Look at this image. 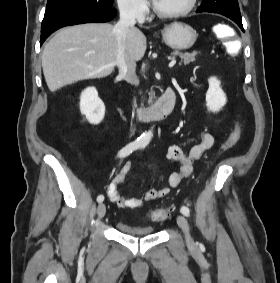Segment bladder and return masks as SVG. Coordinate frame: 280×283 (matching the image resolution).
Returning a JSON list of instances; mask_svg holds the SVG:
<instances>
[{
	"mask_svg": "<svg viewBox=\"0 0 280 283\" xmlns=\"http://www.w3.org/2000/svg\"><path fill=\"white\" fill-rule=\"evenodd\" d=\"M118 231L126 236L143 237L154 234L155 228L150 225H134L119 221L116 223Z\"/></svg>",
	"mask_w": 280,
	"mask_h": 283,
	"instance_id": "1",
	"label": "bladder"
}]
</instances>
